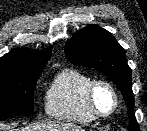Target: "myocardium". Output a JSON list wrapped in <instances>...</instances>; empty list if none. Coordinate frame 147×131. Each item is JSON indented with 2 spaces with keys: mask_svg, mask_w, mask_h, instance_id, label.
<instances>
[{
  "mask_svg": "<svg viewBox=\"0 0 147 131\" xmlns=\"http://www.w3.org/2000/svg\"><path fill=\"white\" fill-rule=\"evenodd\" d=\"M99 86L107 87L112 92L113 97H114V106L107 113L100 112L95 104V92ZM85 97H86L87 108L89 112L91 113V115L96 119H104V118H108L112 116L118 109L119 103H120L119 93L116 87L111 82L105 79L92 80L91 83L87 87Z\"/></svg>",
  "mask_w": 147,
  "mask_h": 131,
  "instance_id": "f54148a6",
  "label": "myocardium"
}]
</instances>
